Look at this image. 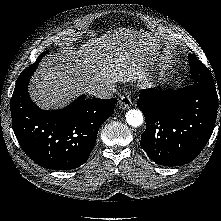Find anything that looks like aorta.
<instances>
[{"mask_svg":"<svg viewBox=\"0 0 221 221\" xmlns=\"http://www.w3.org/2000/svg\"><path fill=\"white\" fill-rule=\"evenodd\" d=\"M126 121L132 127H139L143 123V114L140 110L130 109L126 113Z\"/></svg>","mask_w":221,"mask_h":221,"instance_id":"762f6f07","label":"aorta"}]
</instances>
